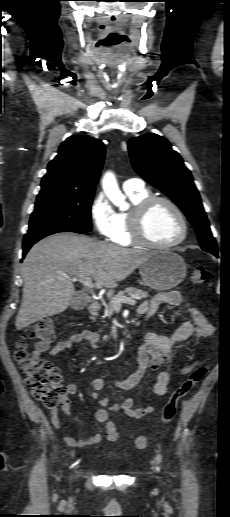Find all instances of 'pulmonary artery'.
<instances>
[{
	"mask_svg": "<svg viewBox=\"0 0 230 517\" xmlns=\"http://www.w3.org/2000/svg\"><path fill=\"white\" fill-rule=\"evenodd\" d=\"M144 182L139 178H130L123 182L125 192L140 191L144 189Z\"/></svg>",
	"mask_w": 230,
	"mask_h": 517,
	"instance_id": "obj_1",
	"label": "pulmonary artery"
}]
</instances>
